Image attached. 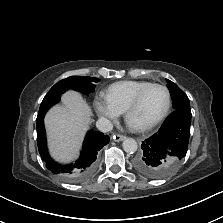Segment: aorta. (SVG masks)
Masks as SVG:
<instances>
[{
  "label": "aorta",
  "mask_w": 223,
  "mask_h": 223,
  "mask_svg": "<svg viewBox=\"0 0 223 223\" xmlns=\"http://www.w3.org/2000/svg\"><path fill=\"white\" fill-rule=\"evenodd\" d=\"M122 146H123V150L126 153H131V154L135 153L138 149V144H137L136 140L133 138H126L123 141Z\"/></svg>",
  "instance_id": "1"
}]
</instances>
